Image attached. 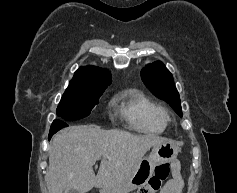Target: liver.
<instances>
[{"mask_svg": "<svg viewBox=\"0 0 237 193\" xmlns=\"http://www.w3.org/2000/svg\"><path fill=\"white\" fill-rule=\"evenodd\" d=\"M166 140L138 136L97 125L71 126L54 136L46 175L49 193H86L93 187H110L129 178L145 153ZM102 158L97 175L93 166Z\"/></svg>", "mask_w": 237, "mask_h": 193, "instance_id": "obj_1", "label": "liver"}]
</instances>
